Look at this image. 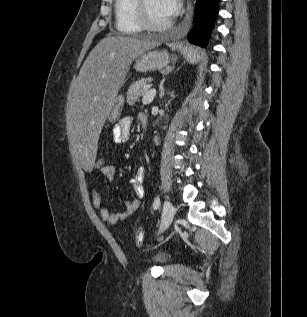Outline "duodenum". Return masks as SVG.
<instances>
[{"label": "duodenum", "mask_w": 307, "mask_h": 317, "mask_svg": "<svg viewBox=\"0 0 307 317\" xmlns=\"http://www.w3.org/2000/svg\"><path fill=\"white\" fill-rule=\"evenodd\" d=\"M140 122H141V125L144 129H146L148 127V120H147V117L145 115L143 117H141Z\"/></svg>", "instance_id": "410a0bca"}]
</instances>
